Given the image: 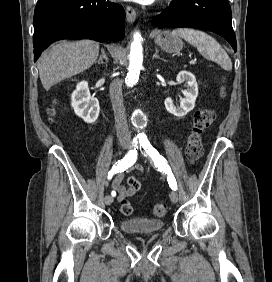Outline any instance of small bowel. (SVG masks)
I'll return each mask as SVG.
<instances>
[{
    "label": "small bowel",
    "mask_w": 272,
    "mask_h": 282,
    "mask_svg": "<svg viewBox=\"0 0 272 282\" xmlns=\"http://www.w3.org/2000/svg\"><path fill=\"white\" fill-rule=\"evenodd\" d=\"M133 169L140 171L142 169L140 164L133 166ZM123 174L120 173L111 183V188L118 192V201H122L125 197L135 194L141 187V183L137 180L135 183L128 184V186L122 185Z\"/></svg>",
    "instance_id": "obj_1"
}]
</instances>
